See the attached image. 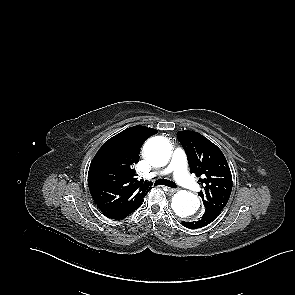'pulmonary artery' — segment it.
<instances>
[{
	"mask_svg": "<svg viewBox=\"0 0 295 295\" xmlns=\"http://www.w3.org/2000/svg\"><path fill=\"white\" fill-rule=\"evenodd\" d=\"M169 173H173L175 180L184 188L191 191L200 190V186L188 174L186 155L182 149H176L169 166L155 175L163 176Z\"/></svg>",
	"mask_w": 295,
	"mask_h": 295,
	"instance_id": "1",
	"label": "pulmonary artery"
}]
</instances>
